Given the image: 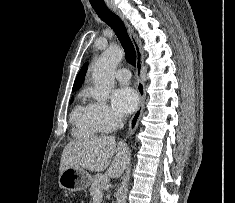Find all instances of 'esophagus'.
I'll use <instances>...</instances> for the list:
<instances>
[{
  "label": "esophagus",
  "instance_id": "esophagus-1",
  "mask_svg": "<svg viewBox=\"0 0 235 203\" xmlns=\"http://www.w3.org/2000/svg\"><path fill=\"white\" fill-rule=\"evenodd\" d=\"M108 7L112 12H114L116 15H118L124 21V23L128 29L129 36L132 40V43H133L135 51H136V76H137V91L139 94V104H138V107H137L135 113L133 114L132 118L129 121L128 136L127 137H131L134 134V132L138 126L139 120L142 116V113H143V110L145 107L146 95H145L144 73H143V58H144V56H143V52L141 49V43L134 35L130 25L128 24V22L126 21L124 16L121 14V12L117 9V7L114 4L108 3Z\"/></svg>",
  "mask_w": 235,
  "mask_h": 203
}]
</instances>
